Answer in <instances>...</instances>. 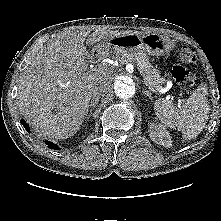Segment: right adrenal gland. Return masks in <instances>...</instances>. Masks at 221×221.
Listing matches in <instances>:
<instances>
[{"instance_id": "right-adrenal-gland-1", "label": "right adrenal gland", "mask_w": 221, "mask_h": 221, "mask_svg": "<svg viewBox=\"0 0 221 221\" xmlns=\"http://www.w3.org/2000/svg\"><path fill=\"white\" fill-rule=\"evenodd\" d=\"M98 102H99V98H95L94 100H91V102L87 108L86 118H89V115L92 113V111L94 110V108L98 104Z\"/></svg>"}]
</instances>
